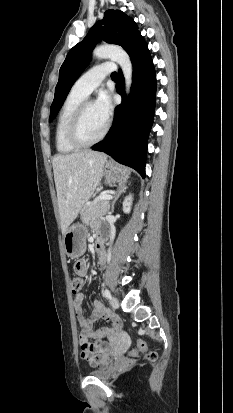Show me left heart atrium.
<instances>
[{"label":"left heart atrium","mask_w":233,"mask_h":413,"mask_svg":"<svg viewBox=\"0 0 233 413\" xmlns=\"http://www.w3.org/2000/svg\"><path fill=\"white\" fill-rule=\"evenodd\" d=\"M94 104L103 120L108 122L113 112V105L109 94L101 92Z\"/></svg>","instance_id":"left-heart-atrium-1"}]
</instances>
